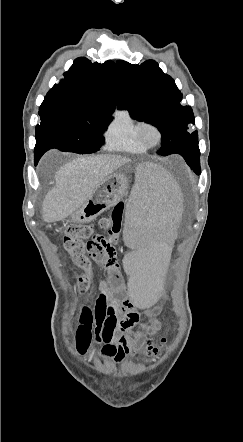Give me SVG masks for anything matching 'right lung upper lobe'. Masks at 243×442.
I'll return each instance as SVG.
<instances>
[{
  "instance_id": "right-lung-upper-lobe-1",
  "label": "right lung upper lobe",
  "mask_w": 243,
  "mask_h": 442,
  "mask_svg": "<svg viewBox=\"0 0 243 442\" xmlns=\"http://www.w3.org/2000/svg\"><path fill=\"white\" fill-rule=\"evenodd\" d=\"M118 72L114 62L91 63L77 58L64 79L55 84L44 101L62 104L84 113H113L118 94Z\"/></svg>"
}]
</instances>
